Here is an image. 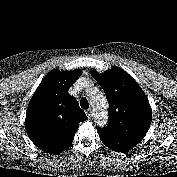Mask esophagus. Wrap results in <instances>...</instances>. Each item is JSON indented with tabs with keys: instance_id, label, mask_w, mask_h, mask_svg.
<instances>
[{
	"instance_id": "obj_1",
	"label": "esophagus",
	"mask_w": 177,
	"mask_h": 177,
	"mask_svg": "<svg viewBox=\"0 0 177 177\" xmlns=\"http://www.w3.org/2000/svg\"><path fill=\"white\" fill-rule=\"evenodd\" d=\"M86 115L91 118L93 116V111L91 109L86 110Z\"/></svg>"
}]
</instances>
